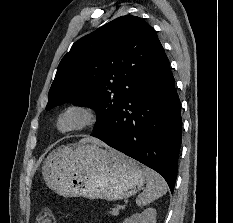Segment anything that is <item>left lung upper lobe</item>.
<instances>
[{"label":"left lung upper lobe","instance_id":"5c2ea615","mask_svg":"<svg viewBox=\"0 0 233 223\" xmlns=\"http://www.w3.org/2000/svg\"><path fill=\"white\" fill-rule=\"evenodd\" d=\"M160 41L137 16H121L76 41L61 60L46 110L65 102L96 111L93 133L114 119Z\"/></svg>","mask_w":233,"mask_h":223}]
</instances>
